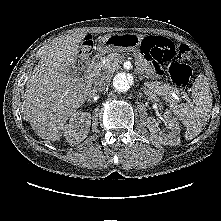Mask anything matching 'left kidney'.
I'll use <instances>...</instances> for the list:
<instances>
[{"mask_svg": "<svg viewBox=\"0 0 221 221\" xmlns=\"http://www.w3.org/2000/svg\"><path fill=\"white\" fill-rule=\"evenodd\" d=\"M165 126L170 130L169 133L158 132V121L154 117H149L147 127L152 137L162 145L176 146L180 144V128L175 118H172L167 112L164 116Z\"/></svg>", "mask_w": 221, "mask_h": 221, "instance_id": "5707ae66", "label": "left kidney"}]
</instances>
